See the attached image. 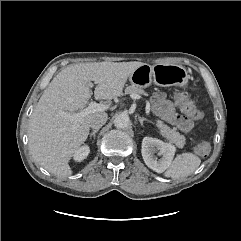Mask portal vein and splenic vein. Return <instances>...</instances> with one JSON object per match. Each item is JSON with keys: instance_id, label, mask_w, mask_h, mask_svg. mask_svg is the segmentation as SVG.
<instances>
[{"instance_id": "1", "label": "portal vein and splenic vein", "mask_w": 241, "mask_h": 241, "mask_svg": "<svg viewBox=\"0 0 241 241\" xmlns=\"http://www.w3.org/2000/svg\"><path fill=\"white\" fill-rule=\"evenodd\" d=\"M131 98L143 99L139 94H131ZM145 102H146V115H149L150 104L147 100H145ZM106 109H107L106 104H98L95 101H91L87 108L80 110L77 113L70 114V113L63 112L62 115H64L65 117L71 120H75L76 122H78L82 117H85L91 113L102 112V111H105Z\"/></svg>"}]
</instances>
